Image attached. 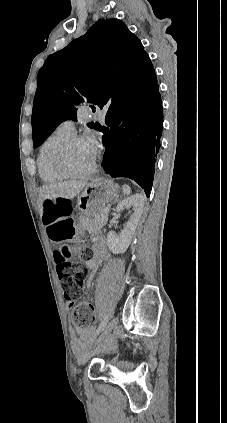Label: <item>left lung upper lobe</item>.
Wrapping results in <instances>:
<instances>
[{
    "instance_id": "5c2ea615",
    "label": "left lung upper lobe",
    "mask_w": 227,
    "mask_h": 423,
    "mask_svg": "<svg viewBox=\"0 0 227 423\" xmlns=\"http://www.w3.org/2000/svg\"><path fill=\"white\" fill-rule=\"evenodd\" d=\"M153 71L141 41L124 22L99 20L85 35L48 56L39 70L32 114L34 147L60 123L76 119V107L83 101L101 109H127ZM88 126L101 127L93 122Z\"/></svg>"
}]
</instances>
